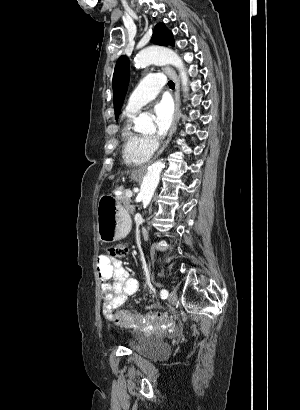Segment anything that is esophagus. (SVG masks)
Returning <instances> with one entry per match:
<instances>
[{
  "instance_id": "34e87169",
  "label": "esophagus",
  "mask_w": 300,
  "mask_h": 410,
  "mask_svg": "<svg viewBox=\"0 0 300 410\" xmlns=\"http://www.w3.org/2000/svg\"><path fill=\"white\" fill-rule=\"evenodd\" d=\"M164 72L174 81L175 84V92H174V101H175V114H174V119L168 134L167 139L165 140V142L163 143L162 147L159 149V151L157 152L156 157H158L163 151L164 149L168 146L173 133L176 129V124H177V120L179 117V113H180V83H179V79L177 77V74L175 73V71L169 67L166 66L163 68ZM147 166H142L140 168H138L136 170V173L142 174L144 173V171L146 170Z\"/></svg>"
}]
</instances>
